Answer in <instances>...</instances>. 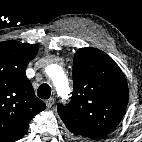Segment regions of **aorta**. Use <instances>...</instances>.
Wrapping results in <instances>:
<instances>
[{"label": "aorta", "mask_w": 142, "mask_h": 142, "mask_svg": "<svg viewBox=\"0 0 142 142\" xmlns=\"http://www.w3.org/2000/svg\"><path fill=\"white\" fill-rule=\"evenodd\" d=\"M49 75L60 96L62 98H67L69 94V86L62 67L56 64L52 65Z\"/></svg>", "instance_id": "aorta-1"}]
</instances>
